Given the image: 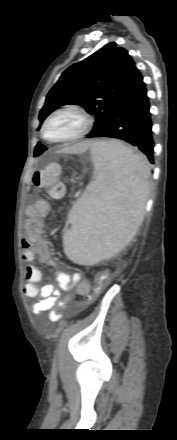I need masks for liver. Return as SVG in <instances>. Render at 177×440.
I'll use <instances>...</instances> for the list:
<instances>
[{
    "label": "liver",
    "mask_w": 177,
    "mask_h": 440,
    "mask_svg": "<svg viewBox=\"0 0 177 440\" xmlns=\"http://www.w3.org/2000/svg\"><path fill=\"white\" fill-rule=\"evenodd\" d=\"M93 145L94 144H93L92 141H83V142L77 143L75 145L66 147L61 152H63V153H70V154L82 153V152L86 151L89 147H91Z\"/></svg>",
    "instance_id": "liver-1"
}]
</instances>
